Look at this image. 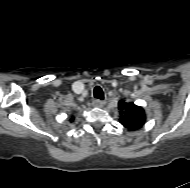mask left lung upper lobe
I'll return each mask as SVG.
<instances>
[{"label": "left lung upper lobe", "instance_id": "1", "mask_svg": "<svg viewBox=\"0 0 190 188\" xmlns=\"http://www.w3.org/2000/svg\"><path fill=\"white\" fill-rule=\"evenodd\" d=\"M118 109L121 115L120 123L128 130L140 129L145 124L146 116L142 107L133 102L128 103L125 100H120Z\"/></svg>", "mask_w": 190, "mask_h": 188}]
</instances>
